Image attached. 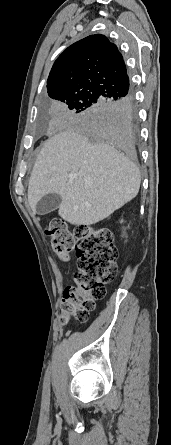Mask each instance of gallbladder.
Here are the masks:
<instances>
[{"label":"gallbladder","mask_w":171,"mask_h":445,"mask_svg":"<svg viewBox=\"0 0 171 445\" xmlns=\"http://www.w3.org/2000/svg\"><path fill=\"white\" fill-rule=\"evenodd\" d=\"M62 198L57 193H49L42 197L36 205V212L39 215L50 213L61 204Z\"/></svg>","instance_id":"bac80fb5"}]
</instances>
